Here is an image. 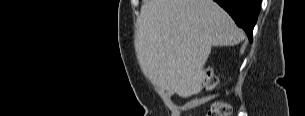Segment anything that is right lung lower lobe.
I'll list each match as a JSON object with an SVG mask.
<instances>
[{
    "label": "right lung lower lobe",
    "instance_id": "98d812e1",
    "mask_svg": "<svg viewBox=\"0 0 305 116\" xmlns=\"http://www.w3.org/2000/svg\"><path fill=\"white\" fill-rule=\"evenodd\" d=\"M224 8L252 42L253 28L261 9V0H214Z\"/></svg>",
    "mask_w": 305,
    "mask_h": 116
}]
</instances>
